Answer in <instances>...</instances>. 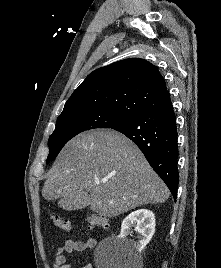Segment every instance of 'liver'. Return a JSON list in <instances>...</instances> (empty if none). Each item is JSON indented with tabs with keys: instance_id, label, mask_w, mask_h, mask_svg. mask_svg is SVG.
<instances>
[{
	"instance_id": "obj_1",
	"label": "liver",
	"mask_w": 221,
	"mask_h": 268,
	"mask_svg": "<svg viewBox=\"0 0 221 268\" xmlns=\"http://www.w3.org/2000/svg\"><path fill=\"white\" fill-rule=\"evenodd\" d=\"M170 192L140 149L107 129L81 133L58 155L42 189L58 206L82 204L115 217L136 207L163 203Z\"/></svg>"
}]
</instances>
